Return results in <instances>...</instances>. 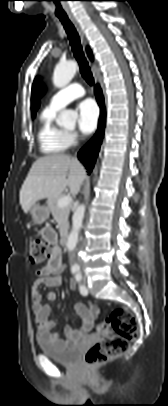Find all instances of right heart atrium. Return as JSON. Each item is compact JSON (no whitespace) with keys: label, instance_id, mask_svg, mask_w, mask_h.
Masks as SVG:
<instances>
[{"label":"right heart atrium","instance_id":"right-heart-atrium-1","mask_svg":"<svg viewBox=\"0 0 168 406\" xmlns=\"http://www.w3.org/2000/svg\"><path fill=\"white\" fill-rule=\"evenodd\" d=\"M69 139L71 141V144L74 143L77 140V134L73 131L68 133Z\"/></svg>","mask_w":168,"mask_h":406}]
</instances>
